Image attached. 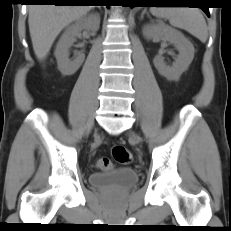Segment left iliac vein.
<instances>
[{"label":"left iliac vein","mask_w":231,"mask_h":231,"mask_svg":"<svg viewBox=\"0 0 231 231\" xmlns=\"http://www.w3.org/2000/svg\"><path fill=\"white\" fill-rule=\"evenodd\" d=\"M131 137L136 141V142H139L140 141V138L138 135L132 133Z\"/></svg>","instance_id":"left-iliac-vein-1"}]
</instances>
